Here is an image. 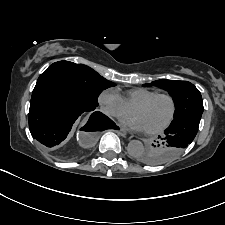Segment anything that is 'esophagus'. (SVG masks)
Instances as JSON below:
<instances>
[{"mask_svg": "<svg viewBox=\"0 0 225 225\" xmlns=\"http://www.w3.org/2000/svg\"><path fill=\"white\" fill-rule=\"evenodd\" d=\"M115 131L117 134H119L123 137H125L127 135L126 131L121 126H118Z\"/></svg>", "mask_w": 225, "mask_h": 225, "instance_id": "34e87169", "label": "esophagus"}]
</instances>
